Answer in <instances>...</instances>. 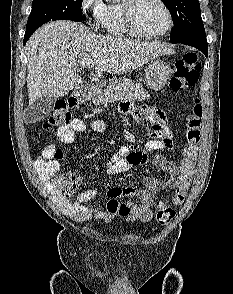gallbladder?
<instances>
[{
    "label": "gallbladder",
    "mask_w": 233,
    "mask_h": 294,
    "mask_svg": "<svg viewBox=\"0 0 233 294\" xmlns=\"http://www.w3.org/2000/svg\"><path fill=\"white\" fill-rule=\"evenodd\" d=\"M56 98L51 94L41 96L29 109L27 118L29 120H41L53 109Z\"/></svg>",
    "instance_id": "gallbladder-1"
}]
</instances>
